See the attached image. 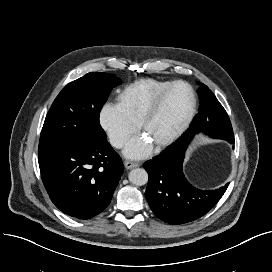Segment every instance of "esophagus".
I'll list each match as a JSON object with an SVG mask.
<instances>
[{
    "instance_id": "obj_1",
    "label": "esophagus",
    "mask_w": 272,
    "mask_h": 272,
    "mask_svg": "<svg viewBox=\"0 0 272 272\" xmlns=\"http://www.w3.org/2000/svg\"><path fill=\"white\" fill-rule=\"evenodd\" d=\"M141 164L138 163V162H132V161H126L125 162V167L127 169H132V168H136V167H139Z\"/></svg>"
}]
</instances>
